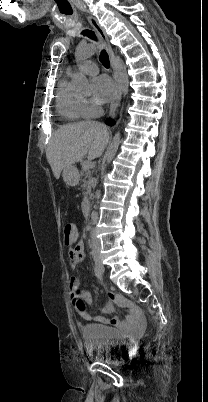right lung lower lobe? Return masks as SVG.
Wrapping results in <instances>:
<instances>
[{
  "label": "right lung lower lobe",
  "mask_w": 208,
  "mask_h": 402,
  "mask_svg": "<svg viewBox=\"0 0 208 402\" xmlns=\"http://www.w3.org/2000/svg\"><path fill=\"white\" fill-rule=\"evenodd\" d=\"M105 123H106L107 125H110V126H112V125L114 124L113 120H111V119L106 120Z\"/></svg>",
  "instance_id": "1"
}]
</instances>
